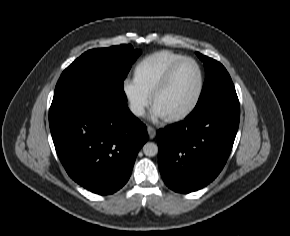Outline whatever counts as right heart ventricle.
Returning <instances> with one entry per match:
<instances>
[{
  "label": "right heart ventricle",
  "instance_id": "obj_1",
  "mask_svg": "<svg viewBox=\"0 0 290 236\" xmlns=\"http://www.w3.org/2000/svg\"><path fill=\"white\" fill-rule=\"evenodd\" d=\"M181 57L170 52L154 55L143 61L136 70L135 83L144 92L150 93L163 79L167 71Z\"/></svg>",
  "mask_w": 290,
  "mask_h": 236
}]
</instances>
